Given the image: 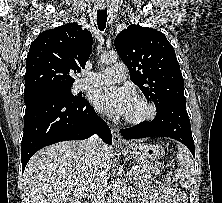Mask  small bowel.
I'll list each match as a JSON object with an SVG mask.
<instances>
[{
  "mask_svg": "<svg viewBox=\"0 0 222 203\" xmlns=\"http://www.w3.org/2000/svg\"><path fill=\"white\" fill-rule=\"evenodd\" d=\"M146 192L154 203H185V196L182 192L172 190L164 184H149Z\"/></svg>",
  "mask_w": 222,
  "mask_h": 203,
  "instance_id": "obj_1",
  "label": "small bowel"
}]
</instances>
